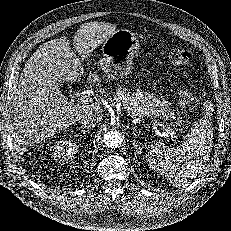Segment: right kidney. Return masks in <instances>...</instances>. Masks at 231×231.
Listing matches in <instances>:
<instances>
[{"mask_svg":"<svg viewBox=\"0 0 231 231\" xmlns=\"http://www.w3.org/2000/svg\"><path fill=\"white\" fill-rule=\"evenodd\" d=\"M77 144L72 140H58L51 147L52 156L60 159L62 162H68L77 152Z\"/></svg>","mask_w":231,"mask_h":231,"instance_id":"right-kidney-1","label":"right kidney"}]
</instances>
